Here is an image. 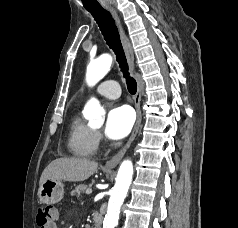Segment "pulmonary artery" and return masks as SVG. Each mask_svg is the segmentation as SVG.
<instances>
[{
  "label": "pulmonary artery",
  "mask_w": 238,
  "mask_h": 228,
  "mask_svg": "<svg viewBox=\"0 0 238 228\" xmlns=\"http://www.w3.org/2000/svg\"><path fill=\"white\" fill-rule=\"evenodd\" d=\"M95 92L98 95L104 96L109 99H116L120 96V85L115 80H107L102 83H100Z\"/></svg>",
  "instance_id": "pulmonary-artery-1"
}]
</instances>
